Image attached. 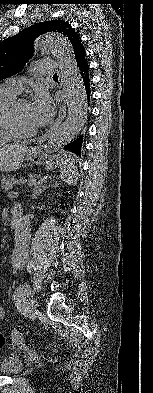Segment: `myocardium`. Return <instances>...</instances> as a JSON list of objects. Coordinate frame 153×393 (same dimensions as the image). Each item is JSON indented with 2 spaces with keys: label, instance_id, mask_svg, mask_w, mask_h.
<instances>
[{
  "label": "myocardium",
  "instance_id": "1",
  "mask_svg": "<svg viewBox=\"0 0 153 393\" xmlns=\"http://www.w3.org/2000/svg\"><path fill=\"white\" fill-rule=\"evenodd\" d=\"M26 102L24 98L15 99L11 105L9 106L7 119H8V127L11 130L12 134L16 138L28 137L36 132V130H23L20 128L18 119H17V107Z\"/></svg>",
  "mask_w": 153,
  "mask_h": 393
}]
</instances>
